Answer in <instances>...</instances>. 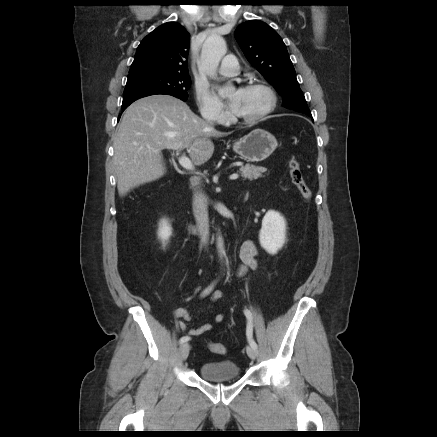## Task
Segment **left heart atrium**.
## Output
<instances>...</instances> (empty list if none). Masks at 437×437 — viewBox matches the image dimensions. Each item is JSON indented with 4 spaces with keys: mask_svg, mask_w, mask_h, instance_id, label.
Segmentation results:
<instances>
[{
    "mask_svg": "<svg viewBox=\"0 0 437 437\" xmlns=\"http://www.w3.org/2000/svg\"><path fill=\"white\" fill-rule=\"evenodd\" d=\"M242 92V89H238L235 91L234 96L230 99L229 105L232 111H235L238 105L239 96Z\"/></svg>",
    "mask_w": 437,
    "mask_h": 437,
    "instance_id": "39dd6f15",
    "label": "left heart atrium"
}]
</instances>
